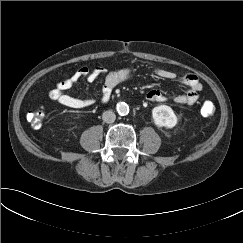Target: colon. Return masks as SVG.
Returning <instances> with one entry per match:
<instances>
[{
    "mask_svg": "<svg viewBox=\"0 0 243 243\" xmlns=\"http://www.w3.org/2000/svg\"><path fill=\"white\" fill-rule=\"evenodd\" d=\"M200 112L203 116L210 117L215 113V106L210 101H205L200 108ZM44 112L41 108L32 110L27 114V120L32 127L38 129L43 125Z\"/></svg>",
    "mask_w": 243,
    "mask_h": 243,
    "instance_id": "colon-1",
    "label": "colon"
}]
</instances>
